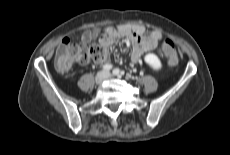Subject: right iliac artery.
<instances>
[{"label": "right iliac artery", "instance_id": "right-iliac-artery-1", "mask_svg": "<svg viewBox=\"0 0 230 155\" xmlns=\"http://www.w3.org/2000/svg\"><path fill=\"white\" fill-rule=\"evenodd\" d=\"M102 69L105 71H109L112 69V65L111 64H105L102 66Z\"/></svg>", "mask_w": 230, "mask_h": 155}]
</instances>
